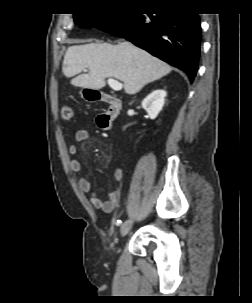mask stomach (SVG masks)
<instances>
[{
	"label": "stomach",
	"mask_w": 252,
	"mask_h": 303,
	"mask_svg": "<svg viewBox=\"0 0 252 303\" xmlns=\"http://www.w3.org/2000/svg\"><path fill=\"white\" fill-rule=\"evenodd\" d=\"M85 91H86V88L83 89V90L80 92L82 97H85V95H84V92H85Z\"/></svg>",
	"instance_id": "1"
}]
</instances>
